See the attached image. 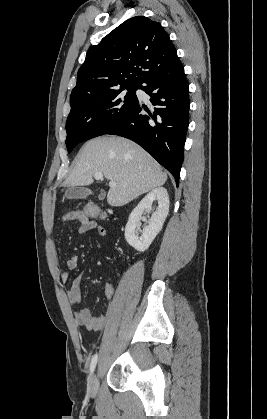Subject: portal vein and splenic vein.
Instances as JSON below:
<instances>
[{"mask_svg":"<svg viewBox=\"0 0 267 419\" xmlns=\"http://www.w3.org/2000/svg\"><path fill=\"white\" fill-rule=\"evenodd\" d=\"M94 178H95L96 180H100V179H102V178H103V174H102L101 172L95 173V174H94ZM109 186H110L111 188H113V187H115V186H116V183H115L114 181H110V182H109Z\"/></svg>","mask_w":267,"mask_h":419,"instance_id":"obj_1","label":"portal vein and splenic vein"}]
</instances>
